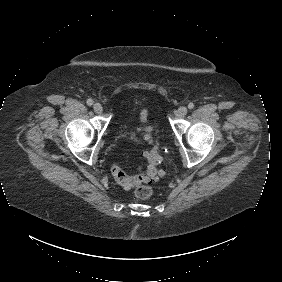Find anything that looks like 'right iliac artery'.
<instances>
[{
  "label": "right iliac artery",
  "mask_w": 282,
  "mask_h": 282,
  "mask_svg": "<svg viewBox=\"0 0 282 282\" xmlns=\"http://www.w3.org/2000/svg\"><path fill=\"white\" fill-rule=\"evenodd\" d=\"M87 104H88L89 106L93 105V100H92V99H88V100H87Z\"/></svg>",
  "instance_id": "1"
}]
</instances>
